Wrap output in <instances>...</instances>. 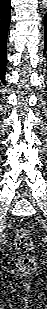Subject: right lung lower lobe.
<instances>
[{"mask_svg": "<svg viewBox=\"0 0 47 309\" xmlns=\"http://www.w3.org/2000/svg\"><path fill=\"white\" fill-rule=\"evenodd\" d=\"M10 0H0V80L5 84L6 42L11 13Z\"/></svg>", "mask_w": 47, "mask_h": 309, "instance_id": "right-lung-lower-lobe-1", "label": "right lung lower lobe"}]
</instances>
